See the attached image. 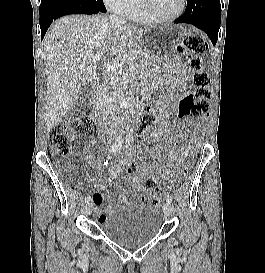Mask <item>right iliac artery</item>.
<instances>
[{"label": "right iliac artery", "instance_id": "obj_1", "mask_svg": "<svg viewBox=\"0 0 265 273\" xmlns=\"http://www.w3.org/2000/svg\"><path fill=\"white\" fill-rule=\"evenodd\" d=\"M123 143V139L122 136H119L117 138V140L115 141V143L112 145V147L110 148V152L112 153H116L117 151L120 150L121 146ZM85 203H89L91 201V197L90 196H86L84 199Z\"/></svg>", "mask_w": 265, "mask_h": 273}]
</instances>
